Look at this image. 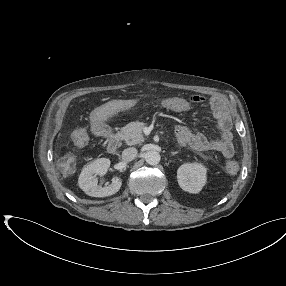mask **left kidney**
I'll return each mask as SVG.
<instances>
[{
	"label": "left kidney",
	"mask_w": 286,
	"mask_h": 286,
	"mask_svg": "<svg viewBox=\"0 0 286 286\" xmlns=\"http://www.w3.org/2000/svg\"><path fill=\"white\" fill-rule=\"evenodd\" d=\"M207 169L200 163H186L177 170L179 186L189 193H199L206 183Z\"/></svg>",
	"instance_id": "1"
}]
</instances>
